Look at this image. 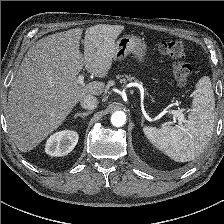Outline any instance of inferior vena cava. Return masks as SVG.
Segmentation results:
<instances>
[{
    "mask_svg": "<svg viewBox=\"0 0 224 224\" xmlns=\"http://www.w3.org/2000/svg\"><path fill=\"white\" fill-rule=\"evenodd\" d=\"M80 105L84 109L93 110L97 107L98 100L94 96H85L83 99L80 100Z\"/></svg>",
    "mask_w": 224,
    "mask_h": 224,
    "instance_id": "602c4592",
    "label": "inferior vena cava"
}]
</instances>
